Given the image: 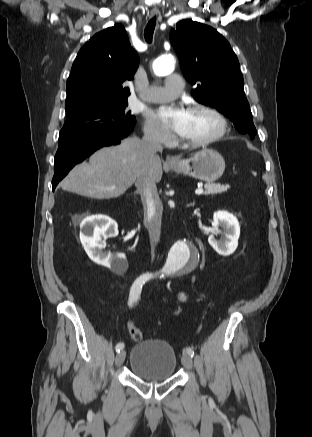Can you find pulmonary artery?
Returning <instances> with one entry per match:
<instances>
[{
    "mask_svg": "<svg viewBox=\"0 0 312 437\" xmlns=\"http://www.w3.org/2000/svg\"><path fill=\"white\" fill-rule=\"evenodd\" d=\"M184 81L178 74H172L165 80L163 86H152L140 97L149 102H163L175 98L183 90Z\"/></svg>",
    "mask_w": 312,
    "mask_h": 437,
    "instance_id": "obj_1",
    "label": "pulmonary artery"
}]
</instances>
